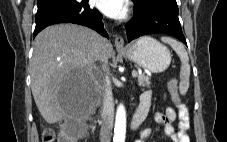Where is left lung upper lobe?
Segmentation results:
<instances>
[{
    "instance_id": "obj_1",
    "label": "left lung upper lobe",
    "mask_w": 227,
    "mask_h": 142,
    "mask_svg": "<svg viewBox=\"0 0 227 142\" xmlns=\"http://www.w3.org/2000/svg\"><path fill=\"white\" fill-rule=\"evenodd\" d=\"M137 9H144L152 4H160L170 8L178 9L176 0H133Z\"/></svg>"
}]
</instances>
